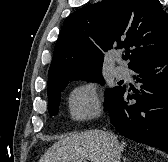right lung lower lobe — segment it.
<instances>
[{"label": "right lung lower lobe", "mask_w": 168, "mask_h": 162, "mask_svg": "<svg viewBox=\"0 0 168 162\" xmlns=\"http://www.w3.org/2000/svg\"><path fill=\"white\" fill-rule=\"evenodd\" d=\"M131 69L140 89L121 87L108 109L111 123L121 135L168 153V50Z\"/></svg>", "instance_id": "1"}]
</instances>
